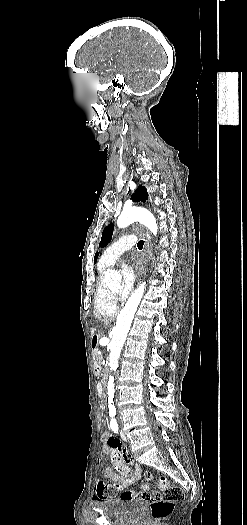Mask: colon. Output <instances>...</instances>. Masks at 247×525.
I'll list each match as a JSON object with an SVG mask.
<instances>
[{
    "label": "colon",
    "instance_id": "colon-1",
    "mask_svg": "<svg viewBox=\"0 0 247 525\" xmlns=\"http://www.w3.org/2000/svg\"><path fill=\"white\" fill-rule=\"evenodd\" d=\"M105 424V419L98 418L96 420L98 431H103V426H105ZM146 478L150 479L151 475L146 474ZM184 497V491L175 485H172L171 489H160L158 494L150 500L152 516L154 518H164L168 516L172 511L173 505L176 502L184 500Z\"/></svg>",
    "mask_w": 247,
    "mask_h": 525
}]
</instances>
